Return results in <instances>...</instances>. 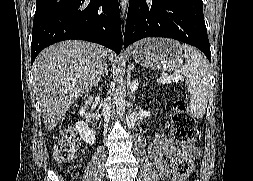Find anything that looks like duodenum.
Returning a JSON list of instances; mask_svg holds the SVG:
<instances>
[{
    "instance_id": "1",
    "label": "duodenum",
    "mask_w": 253,
    "mask_h": 181,
    "mask_svg": "<svg viewBox=\"0 0 253 181\" xmlns=\"http://www.w3.org/2000/svg\"><path fill=\"white\" fill-rule=\"evenodd\" d=\"M88 104H91V101L88 102ZM88 121L92 124L93 127H97V117L94 114L88 115Z\"/></svg>"
}]
</instances>
